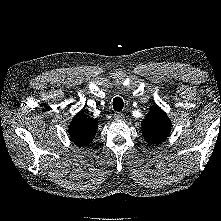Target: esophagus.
Listing matches in <instances>:
<instances>
[{
    "label": "esophagus",
    "instance_id": "esophagus-1",
    "mask_svg": "<svg viewBox=\"0 0 221 221\" xmlns=\"http://www.w3.org/2000/svg\"><path fill=\"white\" fill-rule=\"evenodd\" d=\"M124 115L121 113V112H116L115 114H114V119L116 120V121H122V120H124Z\"/></svg>",
    "mask_w": 221,
    "mask_h": 221
}]
</instances>
